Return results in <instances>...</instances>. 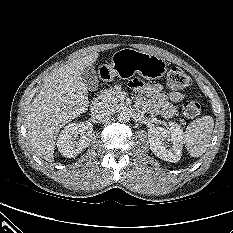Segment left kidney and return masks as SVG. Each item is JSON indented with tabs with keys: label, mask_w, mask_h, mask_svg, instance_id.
I'll list each match as a JSON object with an SVG mask.
<instances>
[{
	"label": "left kidney",
	"mask_w": 233,
	"mask_h": 233,
	"mask_svg": "<svg viewBox=\"0 0 233 233\" xmlns=\"http://www.w3.org/2000/svg\"><path fill=\"white\" fill-rule=\"evenodd\" d=\"M169 126H152L148 130L150 149L158 158L176 163L182 156L183 129L174 122Z\"/></svg>",
	"instance_id": "left-kidney-1"
}]
</instances>
